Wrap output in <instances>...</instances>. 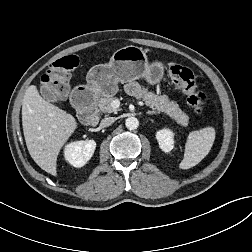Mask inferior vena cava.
Segmentation results:
<instances>
[{
	"mask_svg": "<svg viewBox=\"0 0 252 252\" xmlns=\"http://www.w3.org/2000/svg\"><path fill=\"white\" fill-rule=\"evenodd\" d=\"M115 122L114 117H106L101 120L100 126L101 127H108L112 125Z\"/></svg>",
	"mask_w": 252,
	"mask_h": 252,
	"instance_id": "inferior-vena-cava-1",
	"label": "inferior vena cava"
}]
</instances>
